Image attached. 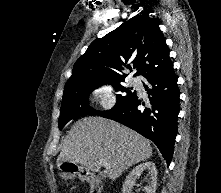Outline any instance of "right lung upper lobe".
<instances>
[{"label":"right lung upper lobe","instance_id":"cb5924a9","mask_svg":"<svg viewBox=\"0 0 221 193\" xmlns=\"http://www.w3.org/2000/svg\"><path fill=\"white\" fill-rule=\"evenodd\" d=\"M130 64L134 76L148 77L173 67L169 51L155 18L136 15L102 38L94 40L76 61L66 88L122 82L119 74Z\"/></svg>","mask_w":221,"mask_h":193}]
</instances>
